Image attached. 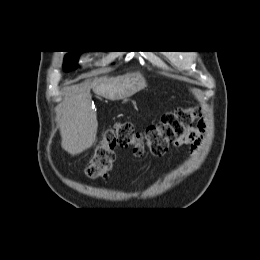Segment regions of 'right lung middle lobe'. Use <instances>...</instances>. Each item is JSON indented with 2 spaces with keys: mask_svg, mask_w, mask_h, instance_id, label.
<instances>
[{
  "mask_svg": "<svg viewBox=\"0 0 260 260\" xmlns=\"http://www.w3.org/2000/svg\"><path fill=\"white\" fill-rule=\"evenodd\" d=\"M77 52L81 51H74L73 53H69L64 58V68L66 71L73 70L77 67V60L79 54Z\"/></svg>",
  "mask_w": 260,
  "mask_h": 260,
  "instance_id": "right-lung-middle-lobe-1",
  "label": "right lung middle lobe"
}]
</instances>
